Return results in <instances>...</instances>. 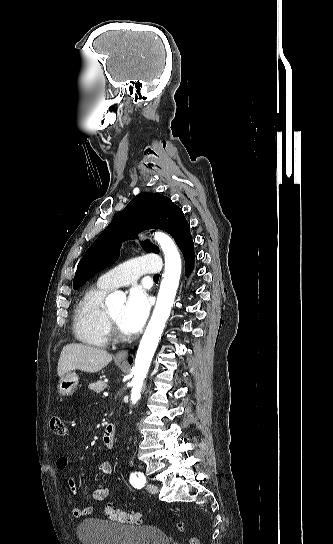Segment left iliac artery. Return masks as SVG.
Instances as JSON below:
<instances>
[{
  "label": "left iliac artery",
  "instance_id": "1",
  "mask_svg": "<svg viewBox=\"0 0 333 544\" xmlns=\"http://www.w3.org/2000/svg\"><path fill=\"white\" fill-rule=\"evenodd\" d=\"M130 483L135 488H142L146 484V478L141 472H132L130 474Z\"/></svg>",
  "mask_w": 333,
  "mask_h": 544
}]
</instances>
